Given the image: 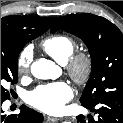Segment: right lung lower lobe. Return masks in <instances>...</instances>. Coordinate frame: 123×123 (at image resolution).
<instances>
[{"mask_svg":"<svg viewBox=\"0 0 123 123\" xmlns=\"http://www.w3.org/2000/svg\"><path fill=\"white\" fill-rule=\"evenodd\" d=\"M1 101V105H2ZM19 114L5 115L1 108V123H42L43 115L25 105L20 107Z\"/></svg>","mask_w":123,"mask_h":123,"instance_id":"obj_1","label":"right lung lower lobe"}]
</instances>
